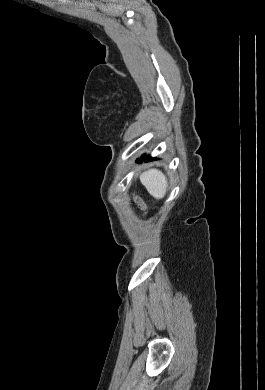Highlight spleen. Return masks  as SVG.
<instances>
[{"mask_svg": "<svg viewBox=\"0 0 265 390\" xmlns=\"http://www.w3.org/2000/svg\"><path fill=\"white\" fill-rule=\"evenodd\" d=\"M140 181L151 196L156 199L164 197L167 188V180L161 171L150 169L140 175Z\"/></svg>", "mask_w": 265, "mask_h": 390, "instance_id": "3e777b00", "label": "spleen"}]
</instances>
